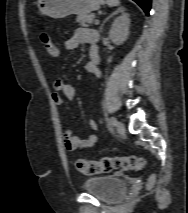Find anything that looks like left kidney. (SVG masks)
Masks as SVG:
<instances>
[{
	"label": "left kidney",
	"instance_id": "1",
	"mask_svg": "<svg viewBox=\"0 0 188 213\" xmlns=\"http://www.w3.org/2000/svg\"><path fill=\"white\" fill-rule=\"evenodd\" d=\"M130 19L129 14L123 13L116 18L109 31L110 39L116 44H123L129 36Z\"/></svg>",
	"mask_w": 188,
	"mask_h": 213
}]
</instances>
